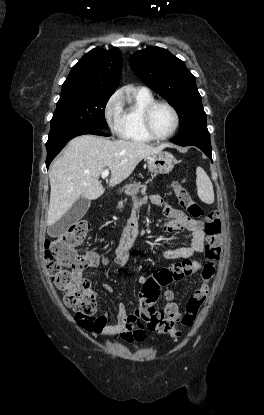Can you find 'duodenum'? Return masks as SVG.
<instances>
[{"mask_svg":"<svg viewBox=\"0 0 264 415\" xmlns=\"http://www.w3.org/2000/svg\"><path fill=\"white\" fill-rule=\"evenodd\" d=\"M133 224H134V226H138L139 221H138L137 219H134V220H133Z\"/></svg>","mask_w":264,"mask_h":415,"instance_id":"obj_1","label":"duodenum"}]
</instances>
